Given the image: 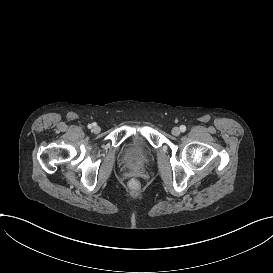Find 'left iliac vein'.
Returning a JSON list of instances; mask_svg holds the SVG:
<instances>
[{
  "label": "left iliac vein",
  "instance_id": "obj_1",
  "mask_svg": "<svg viewBox=\"0 0 273 273\" xmlns=\"http://www.w3.org/2000/svg\"><path fill=\"white\" fill-rule=\"evenodd\" d=\"M171 132L174 136H178L181 131L178 127H174Z\"/></svg>",
  "mask_w": 273,
  "mask_h": 273
}]
</instances>
